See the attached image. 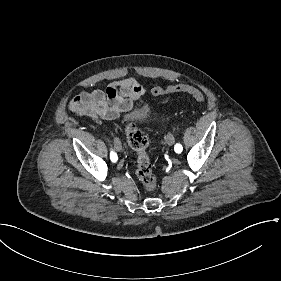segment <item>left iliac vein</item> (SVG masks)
<instances>
[{
    "mask_svg": "<svg viewBox=\"0 0 281 281\" xmlns=\"http://www.w3.org/2000/svg\"><path fill=\"white\" fill-rule=\"evenodd\" d=\"M175 142L174 136L172 134H168L166 137V143L168 145H173Z\"/></svg>",
    "mask_w": 281,
    "mask_h": 281,
    "instance_id": "left-iliac-vein-1",
    "label": "left iliac vein"
}]
</instances>
